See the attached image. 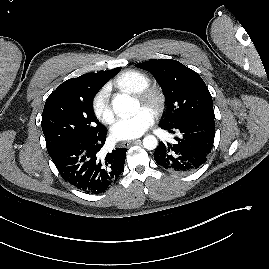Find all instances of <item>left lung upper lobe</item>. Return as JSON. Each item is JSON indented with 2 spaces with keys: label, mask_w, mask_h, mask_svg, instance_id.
<instances>
[{
  "label": "left lung upper lobe",
  "mask_w": 269,
  "mask_h": 269,
  "mask_svg": "<svg viewBox=\"0 0 269 269\" xmlns=\"http://www.w3.org/2000/svg\"><path fill=\"white\" fill-rule=\"evenodd\" d=\"M153 74L166 97L165 125L194 118L215 119L211 94L192 69L171 59H153L135 65Z\"/></svg>",
  "instance_id": "obj_1"
}]
</instances>
